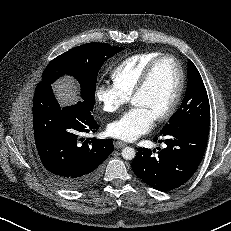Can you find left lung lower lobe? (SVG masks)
<instances>
[{
    "label": "left lung lower lobe",
    "instance_id": "1",
    "mask_svg": "<svg viewBox=\"0 0 231 231\" xmlns=\"http://www.w3.org/2000/svg\"><path fill=\"white\" fill-rule=\"evenodd\" d=\"M209 128L184 126L160 132L154 141L164 142V148L151 151L139 148L132 162L133 172L147 185L170 191L185 184L202 161Z\"/></svg>",
    "mask_w": 231,
    "mask_h": 231
}]
</instances>
